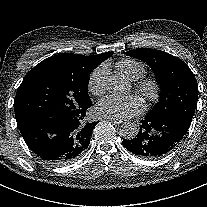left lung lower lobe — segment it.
<instances>
[{
  "label": "left lung lower lobe",
  "mask_w": 207,
  "mask_h": 207,
  "mask_svg": "<svg viewBox=\"0 0 207 207\" xmlns=\"http://www.w3.org/2000/svg\"><path fill=\"white\" fill-rule=\"evenodd\" d=\"M140 131L131 140L122 141L130 152L145 158H158L170 152L180 142L190 125L175 116L146 115Z\"/></svg>",
  "instance_id": "0a47b994"
}]
</instances>
